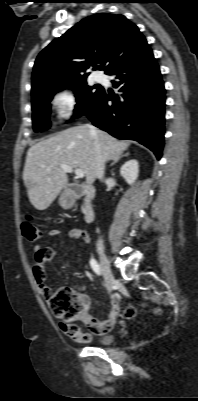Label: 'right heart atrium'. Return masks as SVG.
<instances>
[{"mask_svg": "<svg viewBox=\"0 0 198 401\" xmlns=\"http://www.w3.org/2000/svg\"><path fill=\"white\" fill-rule=\"evenodd\" d=\"M79 103L77 92L71 89L59 91L52 98V106L60 122L70 120L75 115Z\"/></svg>", "mask_w": 198, "mask_h": 401, "instance_id": "right-heart-atrium-1", "label": "right heart atrium"}]
</instances>
